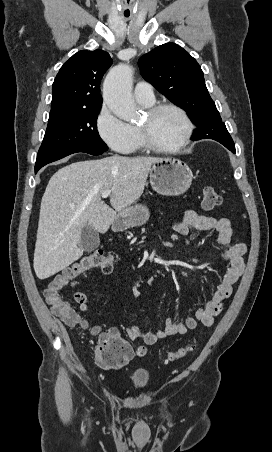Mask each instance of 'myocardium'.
<instances>
[{"mask_svg": "<svg viewBox=\"0 0 272 452\" xmlns=\"http://www.w3.org/2000/svg\"><path fill=\"white\" fill-rule=\"evenodd\" d=\"M162 110L175 111L176 113H178L180 115V117L182 118V120L184 122V133H183L181 139L176 144L171 145V146L158 145L150 139V137L148 135V131L144 125L140 124L137 126V128H138L142 143L146 148L156 151V152H161V153H174V152H177V151L181 150L182 148H184L190 141V138L193 133V124H192L190 117L186 113V111L183 108H181L180 106L173 104V103H160V104L153 105L147 109V115L153 116Z\"/></svg>", "mask_w": 272, "mask_h": 452, "instance_id": "obj_1", "label": "myocardium"}]
</instances>
